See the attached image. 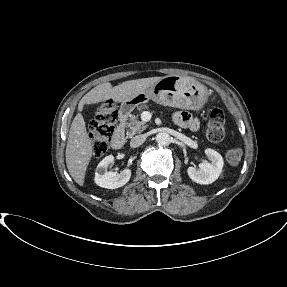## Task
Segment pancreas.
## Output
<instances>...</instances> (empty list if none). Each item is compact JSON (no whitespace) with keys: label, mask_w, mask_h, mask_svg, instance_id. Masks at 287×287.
<instances>
[{"label":"pancreas","mask_w":287,"mask_h":287,"mask_svg":"<svg viewBox=\"0 0 287 287\" xmlns=\"http://www.w3.org/2000/svg\"><path fill=\"white\" fill-rule=\"evenodd\" d=\"M147 108L146 106H141L139 108L140 111H143V109ZM126 126L128 127L127 130V137L131 138L137 133L143 132L147 125L145 122L139 120V115H131L128 119V122H126Z\"/></svg>","instance_id":"1"}]
</instances>
